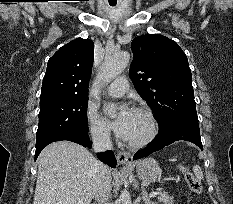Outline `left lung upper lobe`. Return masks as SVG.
<instances>
[{"instance_id": "5c2ea615", "label": "left lung upper lobe", "mask_w": 233, "mask_h": 204, "mask_svg": "<svg viewBox=\"0 0 233 204\" xmlns=\"http://www.w3.org/2000/svg\"><path fill=\"white\" fill-rule=\"evenodd\" d=\"M131 47L129 76L159 127L174 121L198 122L191 71L179 45L165 36L146 34L134 38Z\"/></svg>"}]
</instances>
